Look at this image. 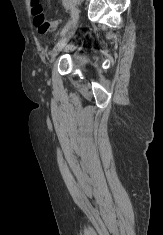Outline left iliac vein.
<instances>
[{"label":"left iliac vein","instance_id":"4c4485c4","mask_svg":"<svg viewBox=\"0 0 163 235\" xmlns=\"http://www.w3.org/2000/svg\"><path fill=\"white\" fill-rule=\"evenodd\" d=\"M78 27V22L64 35L54 46L52 50V58H55L63 49L66 48L67 43L72 38Z\"/></svg>","mask_w":163,"mask_h":235}]
</instances>
